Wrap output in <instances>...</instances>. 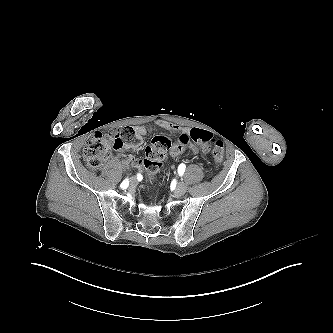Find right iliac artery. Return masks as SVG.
Returning <instances> with one entry per match:
<instances>
[{"instance_id":"82829eb1","label":"right iliac artery","mask_w":333,"mask_h":333,"mask_svg":"<svg viewBox=\"0 0 333 333\" xmlns=\"http://www.w3.org/2000/svg\"><path fill=\"white\" fill-rule=\"evenodd\" d=\"M128 180L126 179V180H124L122 183H121V188H123V189H125V188H127L128 187Z\"/></svg>"}]
</instances>
